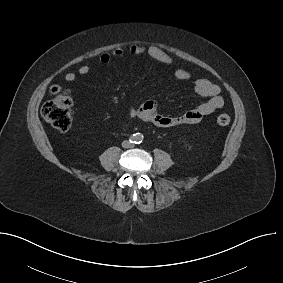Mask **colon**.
Masks as SVG:
<instances>
[{"mask_svg":"<svg viewBox=\"0 0 283 283\" xmlns=\"http://www.w3.org/2000/svg\"><path fill=\"white\" fill-rule=\"evenodd\" d=\"M73 101L68 89L56 85L51 89V99L41 109L43 118L57 131L66 132L71 127L73 120ZM231 118L227 114H220L217 123L220 126H227Z\"/></svg>","mask_w":283,"mask_h":283,"instance_id":"obj_1","label":"colon"}]
</instances>
